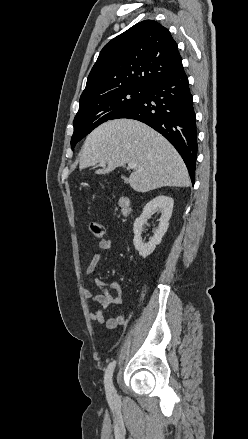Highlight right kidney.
I'll return each mask as SVG.
<instances>
[{
  "label": "right kidney",
  "instance_id": "obj_1",
  "mask_svg": "<svg viewBox=\"0 0 248 439\" xmlns=\"http://www.w3.org/2000/svg\"><path fill=\"white\" fill-rule=\"evenodd\" d=\"M174 201L169 196L159 195L146 204L142 214L134 222V239L133 244L135 249L139 252V255L143 258L148 257L156 248L166 233L169 226V219L172 215ZM156 210L161 212L159 219L160 223L154 236L150 238L149 242L144 243L141 237L143 225L147 222V219L151 217Z\"/></svg>",
  "mask_w": 248,
  "mask_h": 439
}]
</instances>
